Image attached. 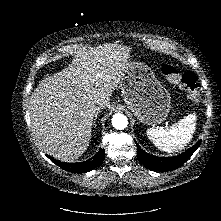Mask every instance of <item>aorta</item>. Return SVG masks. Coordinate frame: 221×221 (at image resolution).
<instances>
[{
  "mask_svg": "<svg viewBox=\"0 0 221 221\" xmlns=\"http://www.w3.org/2000/svg\"><path fill=\"white\" fill-rule=\"evenodd\" d=\"M112 125L118 130H123L128 125L127 117L123 114L117 113L112 117Z\"/></svg>",
  "mask_w": 221,
  "mask_h": 221,
  "instance_id": "obj_1",
  "label": "aorta"
}]
</instances>
